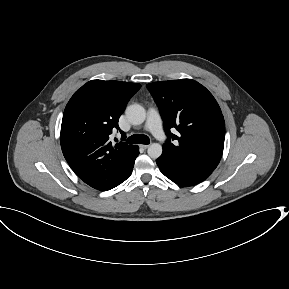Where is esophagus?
Wrapping results in <instances>:
<instances>
[{"instance_id":"obj_1","label":"esophagus","mask_w":289,"mask_h":289,"mask_svg":"<svg viewBox=\"0 0 289 289\" xmlns=\"http://www.w3.org/2000/svg\"><path fill=\"white\" fill-rule=\"evenodd\" d=\"M140 147L143 148V149H147V148L149 147V145H147V144H141Z\"/></svg>"}]
</instances>
